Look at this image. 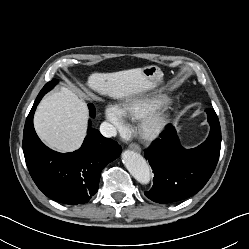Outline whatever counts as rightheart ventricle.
<instances>
[{
	"label": "right heart ventricle",
	"mask_w": 249,
	"mask_h": 249,
	"mask_svg": "<svg viewBox=\"0 0 249 249\" xmlns=\"http://www.w3.org/2000/svg\"><path fill=\"white\" fill-rule=\"evenodd\" d=\"M164 100L165 99L160 96L134 98L119 107V110L123 116L140 118L154 108L161 106Z\"/></svg>",
	"instance_id": "1"
}]
</instances>
